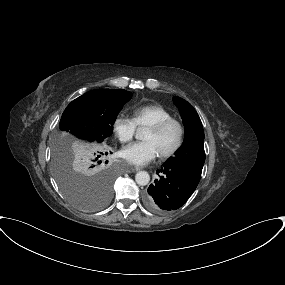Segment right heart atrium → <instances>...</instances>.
<instances>
[{
    "label": "right heart atrium",
    "mask_w": 285,
    "mask_h": 285,
    "mask_svg": "<svg viewBox=\"0 0 285 285\" xmlns=\"http://www.w3.org/2000/svg\"><path fill=\"white\" fill-rule=\"evenodd\" d=\"M136 129L137 125L134 119L128 115L120 114L113 121V130L121 142H130Z\"/></svg>",
    "instance_id": "d8ad5b80"
}]
</instances>
